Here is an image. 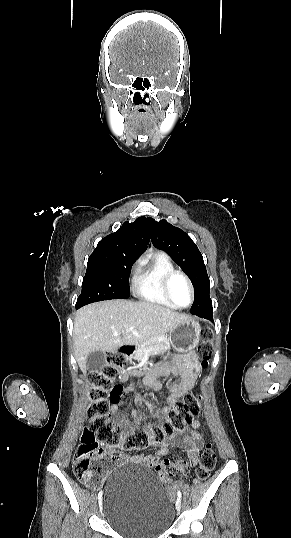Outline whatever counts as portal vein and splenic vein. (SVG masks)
<instances>
[{"label": "portal vein and splenic vein", "mask_w": 291, "mask_h": 538, "mask_svg": "<svg viewBox=\"0 0 291 538\" xmlns=\"http://www.w3.org/2000/svg\"><path fill=\"white\" fill-rule=\"evenodd\" d=\"M125 329H127V330H128V329H129V330H133V328H132V327H126Z\"/></svg>", "instance_id": "portal-vein-and-splenic-vein-1"}]
</instances>
